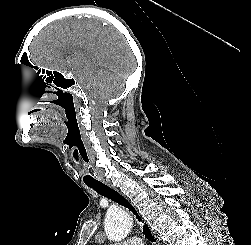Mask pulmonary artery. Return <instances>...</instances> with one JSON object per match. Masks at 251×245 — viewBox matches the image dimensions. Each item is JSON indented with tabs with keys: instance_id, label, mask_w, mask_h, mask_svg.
<instances>
[{
	"instance_id": "1",
	"label": "pulmonary artery",
	"mask_w": 251,
	"mask_h": 245,
	"mask_svg": "<svg viewBox=\"0 0 251 245\" xmlns=\"http://www.w3.org/2000/svg\"><path fill=\"white\" fill-rule=\"evenodd\" d=\"M123 245H144V244L140 238L133 237L124 242Z\"/></svg>"
}]
</instances>
